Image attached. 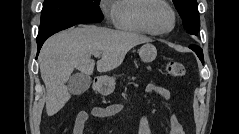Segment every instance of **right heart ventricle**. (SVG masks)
I'll use <instances>...</instances> for the list:
<instances>
[{
    "instance_id": "e07e8e85",
    "label": "right heart ventricle",
    "mask_w": 239,
    "mask_h": 134,
    "mask_svg": "<svg viewBox=\"0 0 239 134\" xmlns=\"http://www.w3.org/2000/svg\"><path fill=\"white\" fill-rule=\"evenodd\" d=\"M148 0H117L114 3V24L118 29L151 34L142 20V11Z\"/></svg>"
}]
</instances>
